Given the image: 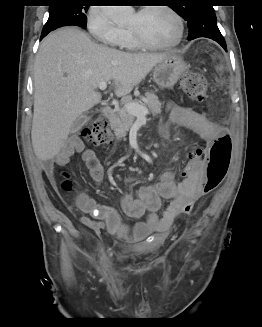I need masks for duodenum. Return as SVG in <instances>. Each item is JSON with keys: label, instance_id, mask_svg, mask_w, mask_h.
Instances as JSON below:
<instances>
[{"label": "duodenum", "instance_id": "duodenum-1", "mask_svg": "<svg viewBox=\"0 0 262 327\" xmlns=\"http://www.w3.org/2000/svg\"><path fill=\"white\" fill-rule=\"evenodd\" d=\"M102 112L103 114L108 117V118H113L116 114V111L114 109V107L112 106H105L103 109H102Z\"/></svg>", "mask_w": 262, "mask_h": 327}]
</instances>
